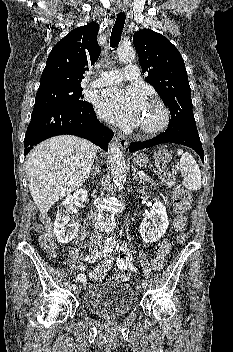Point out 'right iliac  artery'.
I'll use <instances>...</instances> for the list:
<instances>
[{
  "label": "right iliac artery",
  "mask_w": 233,
  "mask_h": 352,
  "mask_svg": "<svg viewBox=\"0 0 233 352\" xmlns=\"http://www.w3.org/2000/svg\"><path fill=\"white\" fill-rule=\"evenodd\" d=\"M110 248L111 247H109V246H105L100 251L96 252L95 254L84 257V260L87 262H95L97 260H100L101 258H103V256H105L108 252H110ZM75 288H76V285L72 284L71 289L75 290Z\"/></svg>",
  "instance_id": "1"
}]
</instances>
